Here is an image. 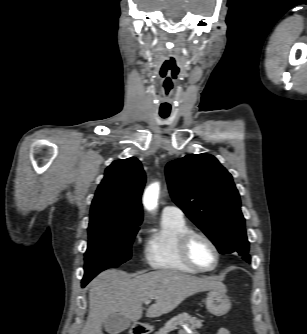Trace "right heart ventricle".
<instances>
[{
  "mask_svg": "<svg viewBox=\"0 0 307 334\" xmlns=\"http://www.w3.org/2000/svg\"><path fill=\"white\" fill-rule=\"evenodd\" d=\"M189 229L184 219L162 216L159 228L149 235L144 247L147 264L165 272L197 273L182 260L178 248L181 235Z\"/></svg>",
  "mask_w": 307,
  "mask_h": 334,
  "instance_id": "obj_1",
  "label": "right heart ventricle"
}]
</instances>
